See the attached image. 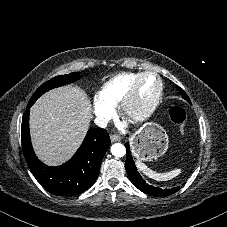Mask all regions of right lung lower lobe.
I'll list each match as a JSON object with an SVG mask.
<instances>
[{"label": "right lung lower lobe", "instance_id": "98d812e1", "mask_svg": "<svg viewBox=\"0 0 227 227\" xmlns=\"http://www.w3.org/2000/svg\"><path fill=\"white\" fill-rule=\"evenodd\" d=\"M28 104L21 126L24 157L38 182L50 193L57 196H74L89 189L96 181L101 161L110 146L106 130L89 129L87 135L75 153L65 164L58 167L47 166L34 153L29 132Z\"/></svg>", "mask_w": 227, "mask_h": 227}]
</instances>
